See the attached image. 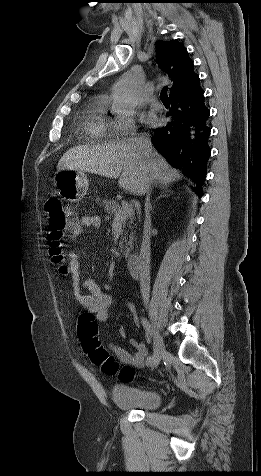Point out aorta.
<instances>
[{
	"label": "aorta",
	"mask_w": 261,
	"mask_h": 476,
	"mask_svg": "<svg viewBox=\"0 0 261 476\" xmlns=\"http://www.w3.org/2000/svg\"><path fill=\"white\" fill-rule=\"evenodd\" d=\"M139 94L138 78L134 74L123 77L115 87L113 111L118 114H130L134 111Z\"/></svg>",
	"instance_id": "762f6f07"
}]
</instances>
